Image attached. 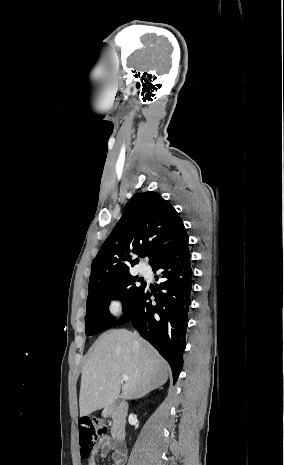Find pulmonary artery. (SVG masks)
<instances>
[{
  "mask_svg": "<svg viewBox=\"0 0 284 465\" xmlns=\"http://www.w3.org/2000/svg\"><path fill=\"white\" fill-rule=\"evenodd\" d=\"M138 272L143 275L146 272V268L144 266H139Z\"/></svg>",
  "mask_w": 284,
  "mask_h": 465,
  "instance_id": "obj_1",
  "label": "pulmonary artery"
}]
</instances>
